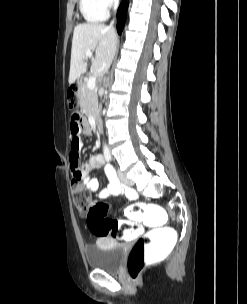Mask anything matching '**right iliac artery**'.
Listing matches in <instances>:
<instances>
[{
    "label": "right iliac artery",
    "instance_id": "obj_1",
    "mask_svg": "<svg viewBox=\"0 0 247 304\" xmlns=\"http://www.w3.org/2000/svg\"><path fill=\"white\" fill-rule=\"evenodd\" d=\"M107 162H109L111 160V158L109 156L106 157Z\"/></svg>",
    "mask_w": 247,
    "mask_h": 304
}]
</instances>
